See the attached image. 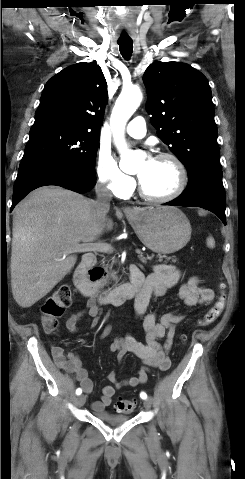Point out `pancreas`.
<instances>
[{
  "mask_svg": "<svg viewBox=\"0 0 245 479\" xmlns=\"http://www.w3.org/2000/svg\"><path fill=\"white\" fill-rule=\"evenodd\" d=\"M158 258H159V261H162V259H163V257L160 256V255L158 256ZM148 259H151V258L141 257V261H142L143 263H146V261H147ZM169 259H170V258H169ZM176 261H177L176 258H172V262H176ZM102 268L104 269L106 275L101 279L100 284H99L100 287H103V286L107 285L110 280L115 281V284H117L118 281H119V279H118V277H117V275H116V272L112 270V264H111V265L105 264V260L103 259V260H102Z\"/></svg>",
  "mask_w": 245,
  "mask_h": 479,
  "instance_id": "pancreas-1",
  "label": "pancreas"
}]
</instances>
